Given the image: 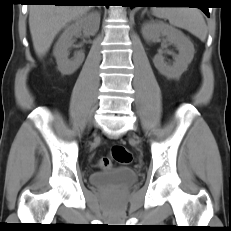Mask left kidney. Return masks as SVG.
<instances>
[{
  "instance_id": "left-kidney-1",
  "label": "left kidney",
  "mask_w": 231,
  "mask_h": 231,
  "mask_svg": "<svg viewBox=\"0 0 231 231\" xmlns=\"http://www.w3.org/2000/svg\"><path fill=\"white\" fill-rule=\"evenodd\" d=\"M142 35L147 42H156L161 36H165L177 47L179 54L176 55L173 65H168L160 54L154 57L153 62L161 74L169 79H178L194 57L195 49L190 39L168 24L154 22H147L143 25Z\"/></svg>"
}]
</instances>
